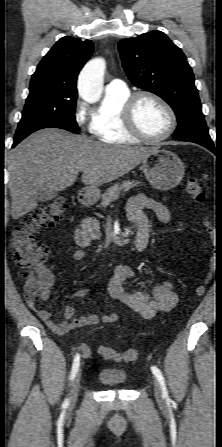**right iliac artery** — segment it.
<instances>
[{"label":"right iliac artery","mask_w":222,"mask_h":447,"mask_svg":"<svg viewBox=\"0 0 222 447\" xmlns=\"http://www.w3.org/2000/svg\"><path fill=\"white\" fill-rule=\"evenodd\" d=\"M79 365H80V357H79V354H76L74 357L72 370H71V376H70L71 380L75 377V375L78 371ZM67 406H68V399H66L63 403V407H67Z\"/></svg>","instance_id":"82829eb1"}]
</instances>
